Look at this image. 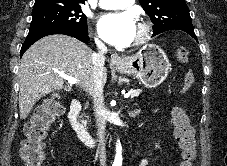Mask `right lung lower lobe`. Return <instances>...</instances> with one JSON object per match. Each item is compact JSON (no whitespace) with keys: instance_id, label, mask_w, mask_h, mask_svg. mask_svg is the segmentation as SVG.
<instances>
[{"instance_id":"obj_1","label":"right lung lower lobe","mask_w":227,"mask_h":166,"mask_svg":"<svg viewBox=\"0 0 227 166\" xmlns=\"http://www.w3.org/2000/svg\"><path fill=\"white\" fill-rule=\"evenodd\" d=\"M53 34H64V35L72 36L83 42H88V40H89L87 31H79V30L66 29V28L47 29V30L38 32L36 34L27 36L25 42L22 45L21 51H20L21 56L37 40H39L45 36L53 35Z\"/></svg>"}]
</instances>
